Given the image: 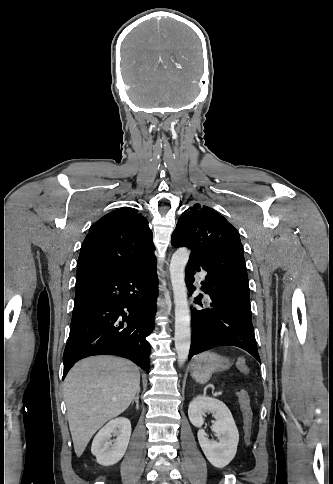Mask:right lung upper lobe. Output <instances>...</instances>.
Masks as SVG:
<instances>
[{"label": "right lung upper lobe", "mask_w": 333, "mask_h": 484, "mask_svg": "<svg viewBox=\"0 0 333 484\" xmlns=\"http://www.w3.org/2000/svg\"><path fill=\"white\" fill-rule=\"evenodd\" d=\"M153 234L138 210H114L93 224L83 241L77 276L95 272H128L156 260Z\"/></svg>", "instance_id": "1"}]
</instances>
